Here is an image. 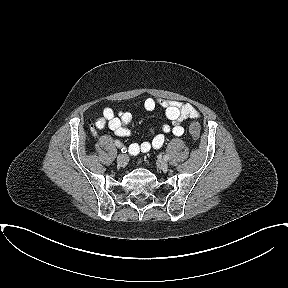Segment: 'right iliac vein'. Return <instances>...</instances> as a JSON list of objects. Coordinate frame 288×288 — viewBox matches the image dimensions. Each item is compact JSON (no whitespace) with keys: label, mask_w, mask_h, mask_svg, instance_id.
I'll return each instance as SVG.
<instances>
[{"label":"right iliac vein","mask_w":288,"mask_h":288,"mask_svg":"<svg viewBox=\"0 0 288 288\" xmlns=\"http://www.w3.org/2000/svg\"><path fill=\"white\" fill-rule=\"evenodd\" d=\"M129 162V158L127 155L125 154H119L118 157H117V163L118 165L124 167L128 164Z\"/></svg>","instance_id":"1"}]
</instances>
